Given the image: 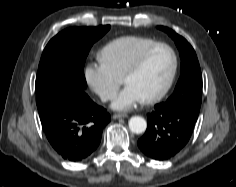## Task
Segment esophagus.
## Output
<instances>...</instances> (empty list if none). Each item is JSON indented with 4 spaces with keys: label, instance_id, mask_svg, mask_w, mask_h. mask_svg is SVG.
I'll return each mask as SVG.
<instances>
[{
    "label": "esophagus",
    "instance_id": "obj_1",
    "mask_svg": "<svg viewBox=\"0 0 236 187\" xmlns=\"http://www.w3.org/2000/svg\"><path fill=\"white\" fill-rule=\"evenodd\" d=\"M126 117H128L127 114H114L112 116L113 119L126 118Z\"/></svg>",
    "mask_w": 236,
    "mask_h": 187
}]
</instances>
